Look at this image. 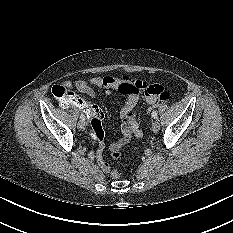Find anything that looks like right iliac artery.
<instances>
[{"label": "right iliac artery", "mask_w": 233, "mask_h": 233, "mask_svg": "<svg viewBox=\"0 0 233 233\" xmlns=\"http://www.w3.org/2000/svg\"><path fill=\"white\" fill-rule=\"evenodd\" d=\"M80 119L85 120V116L83 114H81Z\"/></svg>", "instance_id": "82829eb1"}]
</instances>
